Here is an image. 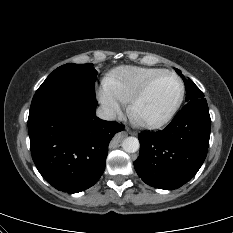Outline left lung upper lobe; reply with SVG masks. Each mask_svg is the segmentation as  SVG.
Here are the masks:
<instances>
[{"label": "left lung upper lobe", "instance_id": "5c2ea615", "mask_svg": "<svg viewBox=\"0 0 233 233\" xmlns=\"http://www.w3.org/2000/svg\"><path fill=\"white\" fill-rule=\"evenodd\" d=\"M176 72L181 75V72L179 69H175ZM182 76V75H181ZM183 77V76H182ZM185 82V87H186V101H192L194 99H198V98H203L204 94L202 93V91L194 84V82H192L190 79L189 80H184Z\"/></svg>", "mask_w": 233, "mask_h": 233}]
</instances>
